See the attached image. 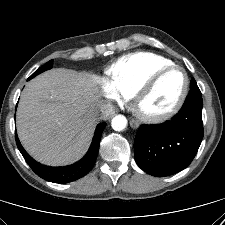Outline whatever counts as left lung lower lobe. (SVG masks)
<instances>
[{
  "mask_svg": "<svg viewBox=\"0 0 225 225\" xmlns=\"http://www.w3.org/2000/svg\"><path fill=\"white\" fill-rule=\"evenodd\" d=\"M202 107L201 93H189L170 121L142 126L134 141L138 166L157 177L173 175L188 167L203 139Z\"/></svg>",
  "mask_w": 225,
  "mask_h": 225,
  "instance_id": "1",
  "label": "left lung lower lobe"
}]
</instances>
